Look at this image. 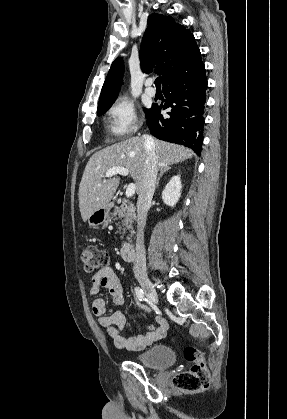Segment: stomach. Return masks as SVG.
<instances>
[{"label":"stomach","instance_id":"0dacf381","mask_svg":"<svg viewBox=\"0 0 287 419\" xmlns=\"http://www.w3.org/2000/svg\"><path fill=\"white\" fill-rule=\"evenodd\" d=\"M110 209L111 204H108L104 208H100L93 212L88 218V224L90 227H97L101 224L107 223L110 220Z\"/></svg>","mask_w":287,"mask_h":419}]
</instances>
